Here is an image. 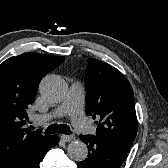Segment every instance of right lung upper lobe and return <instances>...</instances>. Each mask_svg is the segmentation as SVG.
<instances>
[{
    "label": "right lung upper lobe",
    "instance_id": "right-lung-upper-lobe-1",
    "mask_svg": "<svg viewBox=\"0 0 168 168\" xmlns=\"http://www.w3.org/2000/svg\"><path fill=\"white\" fill-rule=\"evenodd\" d=\"M64 57L22 54L0 65V168H22L48 144L51 136L24 127L42 77Z\"/></svg>",
    "mask_w": 168,
    "mask_h": 168
}]
</instances>
